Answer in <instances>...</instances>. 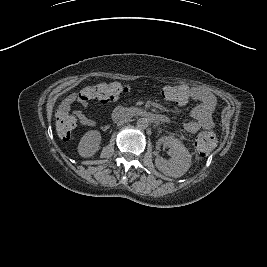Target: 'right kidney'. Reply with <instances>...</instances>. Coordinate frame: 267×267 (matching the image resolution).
I'll list each match as a JSON object with an SVG mask.
<instances>
[{"label": "right kidney", "mask_w": 267, "mask_h": 267, "mask_svg": "<svg viewBox=\"0 0 267 267\" xmlns=\"http://www.w3.org/2000/svg\"><path fill=\"white\" fill-rule=\"evenodd\" d=\"M100 144L101 133L98 130H90L82 136L77 151L81 157L89 158L99 151Z\"/></svg>", "instance_id": "obj_1"}]
</instances>
